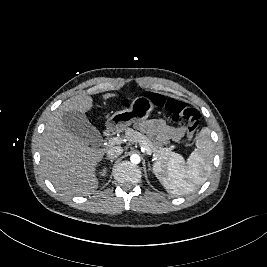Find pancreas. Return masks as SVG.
Instances as JSON below:
<instances>
[{
  "instance_id": "cf45deb5",
  "label": "pancreas",
  "mask_w": 267,
  "mask_h": 267,
  "mask_svg": "<svg viewBox=\"0 0 267 267\" xmlns=\"http://www.w3.org/2000/svg\"><path fill=\"white\" fill-rule=\"evenodd\" d=\"M125 138L130 142L139 143L141 146L149 148L155 159L167 160L176 155L172 153L175 146L171 145L169 147H160L156 143L152 142L147 136L133 130L132 128H128L125 131Z\"/></svg>"
}]
</instances>
